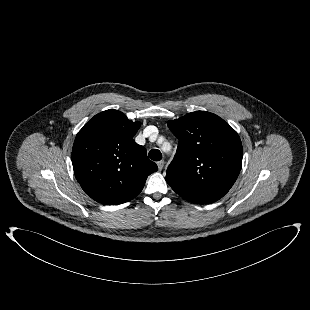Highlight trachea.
<instances>
[{"label": "trachea", "mask_w": 310, "mask_h": 310, "mask_svg": "<svg viewBox=\"0 0 310 310\" xmlns=\"http://www.w3.org/2000/svg\"><path fill=\"white\" fill-rule=\"evenodd\" d=\"M148 156L153 161H160L162 159V154L158 149H152Z\"/></svg>", "instance_id": "trachea-1"}]
</instances>
